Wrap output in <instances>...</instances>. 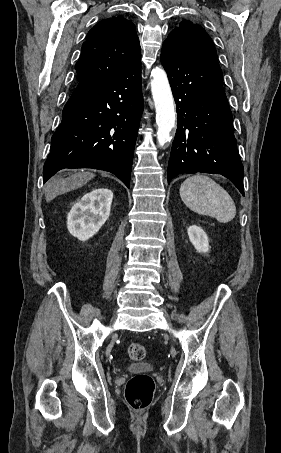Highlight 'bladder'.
Wrapping results in <instances>:
<instances>
[{
	"mask_svg": "<svg viewBox=\"0 0 281 453\" xmlns=\"http://www.w3.org/2000/svg\"><path fill=\"white\" fill-rule=\"evenodd\" d=\"M130 370L140 373H146L151 370L150 366L147 364H135L130 366Z\"/></svg>",
	"mask_w": 281,
	"mask_h": 453,
	"instance_id": "1",
	"label": "bladder"
}]
</instances>
